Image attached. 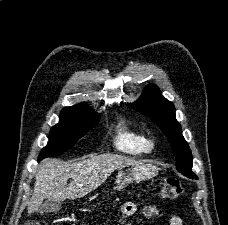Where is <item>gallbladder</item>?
Listing matches in <instances>:
<instances>
[{"label": "gallbladder", "instance_id": "bac80fb5", "mask_svg": "<svg viewBox=\"0 0 228 225\" xmlns=\"http://www.w3.org/2000/svg\"><path fill=\"white\" fill-rule=\"evenodd\" d=\"M63 205L62 201H45L43 205H40L38 213H55V211H60V207Z\"/></svg>", "mask_w": 228, "mask_h": 225}]
</instances>
